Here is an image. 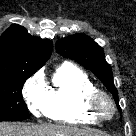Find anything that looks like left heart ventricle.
<instances>
[{"instance_id": "obj_1", "label": "left heart ventricle", "mask_w": 136, "mask_h": 136, "mask_svg": "<svg viewBox=\"0 0 136 136\" xmlns=\"http://www.w3.org/2000/svg\"><path fill=\"white\" fill-rule=\"evenodd\" d=\"M101 108H102L103 113L105 114H109L111 111L109 104L106 102L102 103Z\"/></svg>"}]
</instances>
